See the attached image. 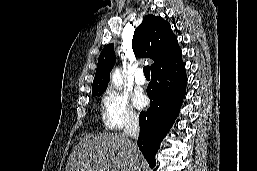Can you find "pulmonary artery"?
<instances>
[{
    "label": "pulmonary artery",
    "instance_id": "obj_1",
    "mask_svg": "<svg viewBox=\"0 0 257 171\" xmlns=\"http://www.w3.org/2000/svg\"><path fill=\"white\" fill-rule=\"evenodd\" d=\"M135 83L138 85H144L146 80L143 74V71L141 69H138L135 73L134 77Z\"/></svg>",
    "mask_w": 257,
    "mask_h": 171
}]
</instances>
